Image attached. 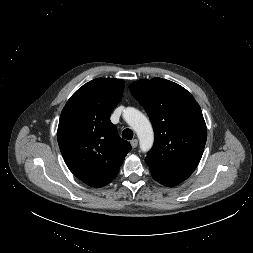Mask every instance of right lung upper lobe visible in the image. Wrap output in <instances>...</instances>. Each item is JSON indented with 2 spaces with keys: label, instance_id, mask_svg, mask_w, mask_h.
<instances>
[{
  "label": "right lung upper lobe",
  "instance_id": "cb5924a9",
  "mask_svg": "<svg viewBox=\"0 0 253 253\" xmlns=\"http://www.w3.org/2000/svg\"><path fill=\"white\" fill-rule=\"evenodd\" d=\"M124 85L121 79H94L79 88L61 112L57 138L64 161L77 178L92 187L110 183L131 150L110 121Z\"/></svg>",
  "mask_w": 253,
  "mask_h": 253
}]
</instances>
